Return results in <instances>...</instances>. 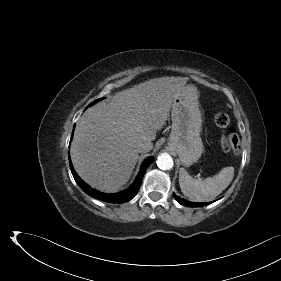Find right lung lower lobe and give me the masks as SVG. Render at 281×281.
Returning <instances> with one entry per match:
<instances>
[{
	"label": "right lung lower lobe",
	"mask_w": 281,
	"mask_h": 281,
	"mask_svg": "<svg viewBox=\"0 0 281 281\" xmlns=\"http://www.w3.org/2000/svg\"><path fill=\"white\" fill-rule=\"evenodd\" d=\"M152 161H153V158H148L143 162L141 169L139 171V174L137 175L135 181L133 182V184L130 187H128L127 189H125L122 192L113 193V194L103 193L96 189H92L87 183H85L77 175V173L75 172V170L72 166L71 160L69 161V163H70L71 172L73 174V177H74L76 183L89 196H91L95 199L101 200V201L108 202V203H124V202L131 200L138 193V190H139L141 182H142L143 175H144L147 167L151 164Z\"/></svg>",
	"instance_id": "obj_1"
}]
</instances>
